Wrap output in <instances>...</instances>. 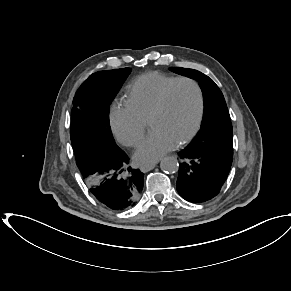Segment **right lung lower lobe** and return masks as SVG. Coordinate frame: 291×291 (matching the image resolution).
Instances as JSON below:
<instances>
[{
  "label": "right lung lower lobe",
  "instance_id": "obj_1",
  "mask_svg": "<svg viewBox=\"0 0 291 291\" xmlns=\"http://www.w3.org/2000/svg\"><path fill=\"white\" fill-rule=\"evenodd\" d=\"M124 151L94 160L79 168L90 192L103 205L115 211L133 207L140 198L144 174L129 165Z\"/></svg>",
  "mask_w": 291,
  "mask_h": 291
}]
</instances>
